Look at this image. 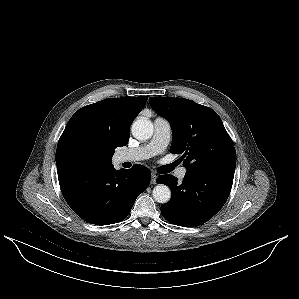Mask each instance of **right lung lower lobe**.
<instances>
[{"mask_svg":"<svg viewBox=\"0 0 299 299\" xmlns=\"http://www.w3.org/2000/svg\"><path fill=\"white\" fill-rule=\"evenodd\" d=\"M57 173L68 205L80 218L96 225L125 219L151 179L150 171L142 165L126 170H116L112 164L62 165Z\"/></svg>","mask_w":299,"mask_h":299,"instance_id":"98d812e1","label":"right lung lower lobe"}]
</instances>
